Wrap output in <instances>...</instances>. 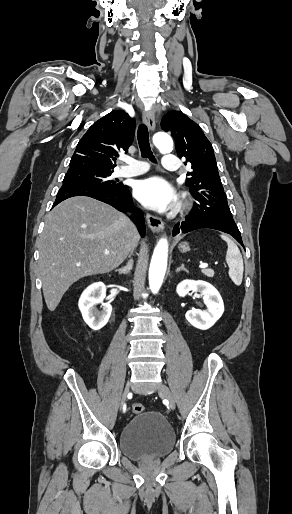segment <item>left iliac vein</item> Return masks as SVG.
<instances>
[{"instance_id": "obj_1", "label": "left iliac vein", "mask_w": 292, "mask_h": 514, "mask_svg": "<svg viewBox=\"0 0 292 514\" xmlns=\"http://www.w3.org/2000/svg\"><path fill=\"white\" fill-rule=\"evenodd\" d=\"M158 393L168 401L169 407L171 409H175V400L167 385L163 383L160 384V386L158 387Z\"/></svg>"}]
</instances>
